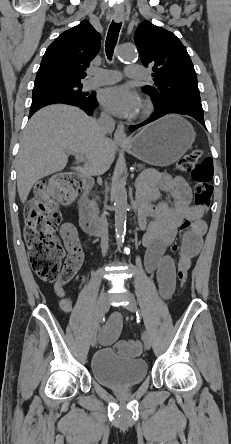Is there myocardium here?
<instances>
[{
  "mask_svg": "<svg viewBox=\"0 0 231 444\" xmlns=\"http://www.w3.org/2000/svg\"><path fill=\"white\" fill-rule=\"evenodd\" d=\"M152 111V104L149 100L143 99L139 106V115L141 117L147 116Z\"/></svg>",
  "mask_w": 231,
  "mask_h": 444,
  "instance_id": "obj_1",
  "label": "myocardium"
}]
</instances>
